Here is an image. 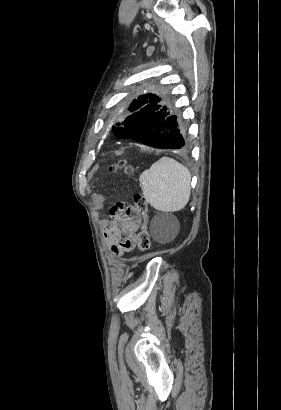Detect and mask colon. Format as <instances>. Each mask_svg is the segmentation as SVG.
Listing matches in <instances>:
<instances>
[{"mask_svg": "<svg viewBox=\"0 0 281 410\" xmlns=\"http://www.w3.org/2000/svg\"><path fill=\"white\" fill-rule=\"evenodd\" d=\"M119 168H123L127 174L134 173V167L124 161L112 165L110 170L116 171ZM133 202V205H128L123 202L113 205L110 209V214L112 216L123 217L130 216L133 212H138L143 216L144 224L138 236V248L140 251L146 252L151 248V237L147 230L148 202L146 197L141 193L134 195Z\"/></svg>", "mask_w": 281, "mask_h": 410, "instance_id": "colon-1", "label": "colon"}]
</instances>
